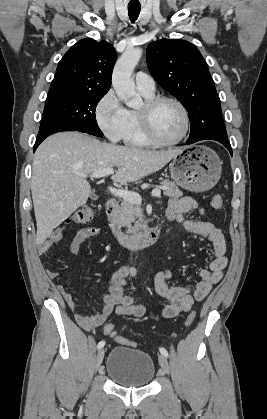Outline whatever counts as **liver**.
<instances>
[{
	"instance_id": "obj_1",
	"label": "liver",
	"mask_w": 267,
	"mask_h": 419,
	"mask_svg": "<svg viewBox=\"0 0 267 419\" xmlns=\"http://www.w3.org/2000/svg\"><path fill=\"white\" fill-rule=\"evenodd\" d=\"M181 150L118 146L79 132L51 135L36 150L32 167L37 244L44 243L53 229L86 204L91 186L79 174L115 167L113 181L135 182L163 168Z\"/></svg>"
}]
</instances>
